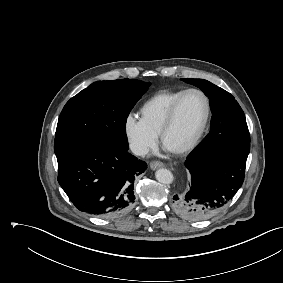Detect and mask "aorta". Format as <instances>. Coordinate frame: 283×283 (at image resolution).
I'll list each match as a JSON object with an SVG mask.
<instances>
[{"mask_svg": "<svg viewBox=\"0 0 283 283\" xmlns=\"http://www.w3.org/2000/svg\"><path fill=\"white\" fill-rule=\"evenodd\" d=\"M155 177L157 181L162 184H170L173 182V174L168 169H158L155 173Z\"/></svg>", "mask_w": 283, "mask_h": 283, "instance_id": "obj_1", "label": "aorta"}]
</instances>
